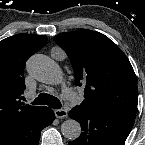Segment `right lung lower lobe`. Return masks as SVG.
<instances>
[{
	"label": "right lung lower lobe",
	"instance_id": "right-lung-lower-lobe-1",
	"mask_svg": "<svg viewBox=\"0 0 145 145\" xmlns=\"http://www.w3.org/2000/svg\"><path fill=\"white\" fill-rule=\"evenodd\" d=\"M55 119L53 110L43 107L29 117L0 131V145H38L41 131Z\"/></svg>",
	"mask_w": 145,
	"mask_h": 145
}]
</instances>
